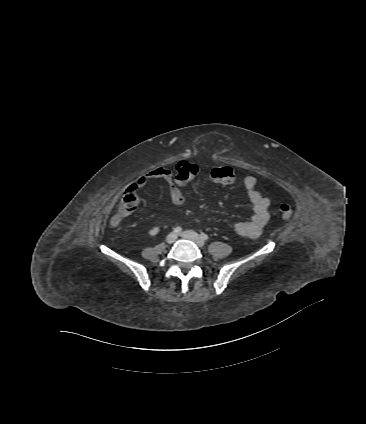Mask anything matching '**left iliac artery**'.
<instances>
[{
	"mask_svg": "<svg viewBox=\"0 0 366 424\" xmlns=\"http://www.w3.org/2000/svg\"><path fill=\"white\" fill-rule=\"evenodd\" d=\"M200 237H201L202 240H205V241L209 239L208 235L205 234V233H201Z\"/></svg>",
	"mask_w": 366,
	"mask_h": 424,
	"instance_id": "left-iliac-artery-1",
	"label": "left iliac artery"
}]
</instances>
